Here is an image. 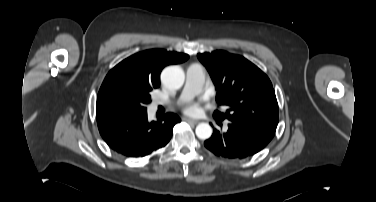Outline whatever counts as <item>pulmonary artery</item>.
Wrapping results in <instances>:
<instances>
[{
	"mask_svg": "<svg viewBox=\"0 0 376 202\" xmlns=\"http://www.w3.org/2000/svg\"><path fill=\"white\" fill-rule=\"evenodd\" d=\"M205 81V69L199 63L191 64L186 71V84L181 95V99H188L199 93ZM163 104L158 101L155 105Z\"/></svg>",
	"mask_w": 376,
	"mask_h": 202,
	"instance_id": "1",
	"label": "pulmonary artery"
}]
</instances>
